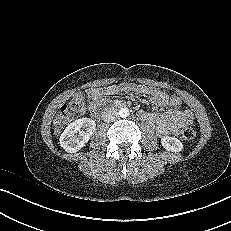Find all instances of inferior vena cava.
Returning <instances> with one entry per match:
<instances>
[{
	"instance_id": "obj_1",
	"label": "inferior vena cava",
	"mask_w": 231,
	"mask_h": 231,
	"mask_svg": "<svg viewBox=\"0 0 231 231\" xmlns=\"http://www.w3.org/2000/svg\"><path fill=\"white\" fill-rule=\"evenodd\" d=\"M102 117L105 122L110 123L116 121L119 118V114L116 110L109 109L103 113Z\"/></svg>"
}]
</instances>
